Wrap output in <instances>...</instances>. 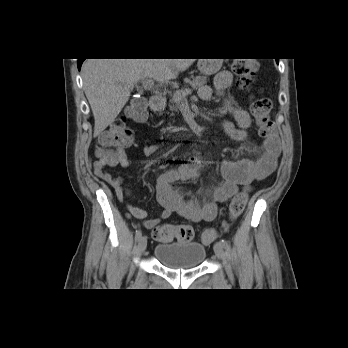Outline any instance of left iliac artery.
<instances>
[{
  "label": "left iliac artery",
  "mask_w": 348,
  "mask_h": 348,
  "mask_svg": "<svg viewBox=\"0 0 348 348\" xmlns=\"http://www.w3.org/2000/svg\"><path fill=\"white\" fill-rule=\"evenodd\" d=\"M220 243H221V245H222L224 248H227V247H228V244H227V241H226V240L221 239V240H220Z\"/></svg>",
  "instance_id": "1"
}]
</instances>
